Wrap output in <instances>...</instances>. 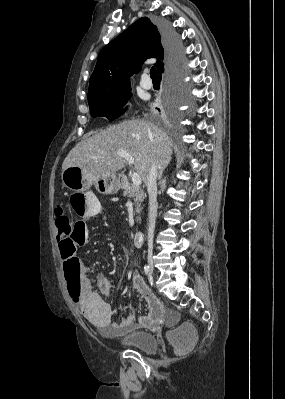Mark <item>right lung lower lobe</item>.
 I'll return each mask as SVG.
<instances>
[{
	"label": "right lung lower lobe",
	"mask_w": 285,
	"mask_h": 399,
	"mask_svg": "<svg viewBox=\"0 0 285 399\" xmlns=\"http://www.w3.org/2000/svg\"><path fill=\"white\" fill-rule=\"evenodd\" d=\"M159 30L167 59L166 71L173 84H176L180 80V71L178 69V63L181 58L180 42L169 24L161 23L159 25ZM163 72L164 68L159 72L160 76Z\"/></svg>",
	"instance_id": "98d812e1"
}]
</instances>
